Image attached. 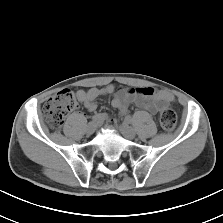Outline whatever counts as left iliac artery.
<instances>
[{"mask_svg": "<svg viewBox=\"0 0 223 223\" xmlns=\"http://www.w3.org/2000/svg\"><path fill=\"white\" fill-rule=\"evenodd\" d=\"M126 121L134 125V121L131 117H127Z\"/></svg>", "mask_w": 223, "mask_h": 223, "instance_id": "1", "label": "left iliac artery"}]
</instances>
